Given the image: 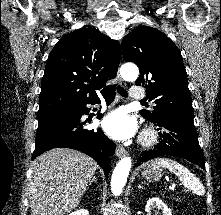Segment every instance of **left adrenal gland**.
Masks as SVG:
<instances>
[{
    "instance_id": "obj_1",
    "label": "left adrenal gland",
    "mask_w": 221,
    "mask_h": 215,
    "mask_svg": "<svg viewBox=\"0 0 221 215\" xmlns=\"http://www.w3.org/2000/svg\"><path fill=\"white\" fill-rule=\"evenodd\" d=\"M138 188H139V189H143V186L139 184Z\"/></svg>"
}]
</instances>
